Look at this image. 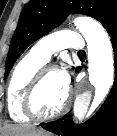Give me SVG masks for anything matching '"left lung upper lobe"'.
Here are the masks:
<instances>
[{
    "instance_id": "left-lung-upper-lobe-1",
    "label": "left lung upper lobe",
    "mask_w": 117,
    "mask_h": 136,
    "mask_svg": "<svg viewBox=\"0 0 117 136\" xmlns=\"http://www.w3.org/2000/svg\"><path fill=\"white\" fill-rule=\"evenodd\" d=\"M69 13L91 16L105 28L117 14V0H30L10 42L4 79L29 45L60 25Z\"/></svg>"
}]
</instances>
